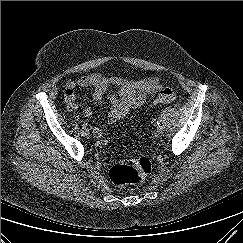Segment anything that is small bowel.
Here are the masks:
<instances>
[{
  "label": "small bowel",
  "mask_w": 243,
  "mask_h": 243,
  "mask_svg": "<svg viewBox=\"0 0 243 243\" xmlns=\"http://www.w3.org/2000/svg\"><path fill=\"white\" fill-rule=\"evenodd\" d=\"M94 88L93 99L102 100L107 98L111 102V109L108 113V121L113 124L124 118L132 109L142 106L148 97L162 89V84L157 77L124 79L110 74L91 73L82 76L77 80H69L65 85V101L70 111H76V90L78 88ZM116 91L112 92L111 89ZM83 115L90 117L93 110L90 107L83 109ZM94 136L98 140V145L106 144L102 130L93 127Z\"/></svg>",
  "instance_id": "1"
}]
</instances>
